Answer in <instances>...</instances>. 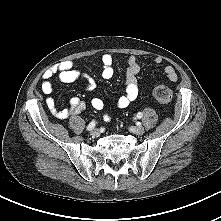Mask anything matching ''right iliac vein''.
Listing matches in <instances>:
<instances>
[{
    "instance_id": "63e3f726",
    "label": "right iliac vein",
    "mask_w": 221,
    "mask_h": 221,
    "mask_svg": "<svg viewBox=\"0 0 221 221\" xmlns=\"http://www.w3.org/2000/svg\"><path fill=\"white\" fill-rule=\"evenodd\" d=\"M90 134L93 136V137H97L99 135V131L97 129H92L90 131Z\"/></svg>"
}]
</instances>
